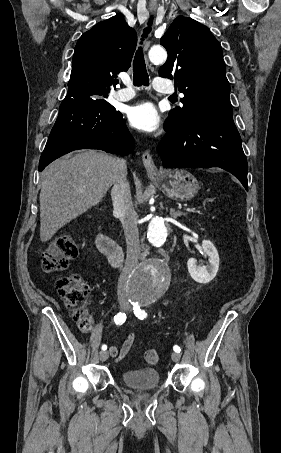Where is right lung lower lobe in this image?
<instances>
[{
	"label": "right lung lower lobe",
	"instance_id": "98d812e1",
	"mask_svg": "<svg viewBox=\"0 0 281 453\" xmlns=\"http://www.w3.org/2000/svg\"><path fill=\"white\" fill-rule=\"evenodd\" d=\"M134 141L120 112L103 99L63 100L39 162L49 163L77 149L129 154Z\"/></svg>",
	"mask_w": 281,
	"mask_h": 453
}]
</instances>
